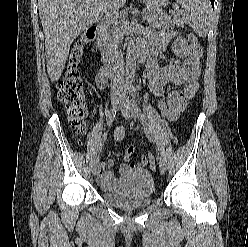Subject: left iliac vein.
I'll return each instance as SVG.
<instances>
[{"label": "left iliac vein", "mask_w": 248, "mask_h": 247, "mask_svg": "<svg viewBox=\"0 0 248 247\" xmlns=\"http://www.w3.org/2000/svg\"><path fill=\"white\" fill-rule=\"evenodd\" d=\"M120 110L123 112V114L129 118V119H135L136 118V112L134 108L130 107L129 99L125 94H121L120 96ZM158 165L160 173L163 175L166 172V161L163 157H158Z\"/></svg>", "instance_id": "1"}]
</instances>
